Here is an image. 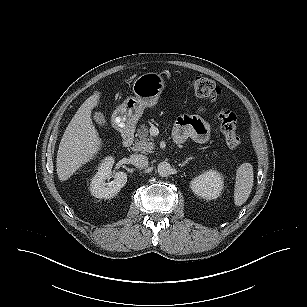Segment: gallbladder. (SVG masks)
<instances>
[{
  "mask_svg": "<svg viewBox=\"0 0 307 307\" xmlns=\"http://www.w3.org/2000/svg\"><path fill=\"white\" fill-rule=\"evenodd\" d=\"M94 120L99 126H105L106 125V118L101 112H96L94 115Z\"/></svg>",
  "mask_w": 307,
  "mask_h": 307,
  "instance_id": "gallbladder-1",
  "label": "gallbladder"
}]
</instances>
